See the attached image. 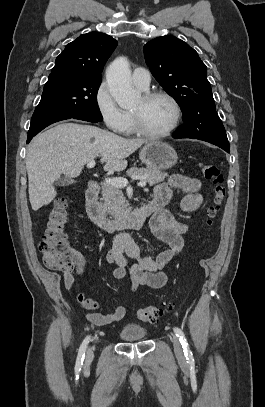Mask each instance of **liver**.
I'll return each instance as SVG.
<instances>
[{
    "label": "liver",
    "mask_w": 265,
    "mask_h": 407,
    "mask_svg": "<svg viewBox=\"0 0 265 407\" xmlns=\"http://www.w3.org/2000/svg\"><path fill=\"white\" fill-rule=\"evenodd\" d=\"M147 139H127L110 131L77 123H62L37 135L28 148L26 170L29 200L37 211L56 197L54 182L64 174L80 175L83 167L97 156L106 163L105 171H121L126 158Z\"/></svg>",
    "instance_id": "liver-1"
}]
</instances>
